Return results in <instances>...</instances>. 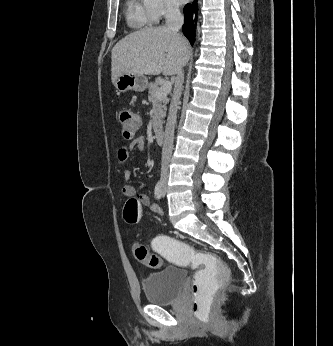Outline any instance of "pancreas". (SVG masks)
I'll list each match as a JSON object with an SVG mask.
<instances>
[{"mask_svg": "<svg viewBox=\"0 0 333 346\" xmlns=\"http://www.w3.org/2000/svg\"><path fill=\"white\" fill-rule=\"evenodd\" d=\"M149 90H148V100L152 103L153 109H154V116H153V130L154 132H157L159 129L162 128L164 118L166 116V110H167V103L168 98L167 97H156V92L160 88V81L156 80L153 83L149 84Z\"/></svg>", "mask_w": 333, "mask_h": 346, "instance_id": "pancreas-1", "label": "pancreas"}]
</instances>
